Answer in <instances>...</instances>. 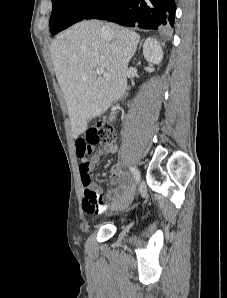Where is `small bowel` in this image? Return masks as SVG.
Segmentation results:
<instances>
[{"instance_id": "1", "label": "small bowel", "mask_w": 227, "mask_h": 298, "mask_svg": "<svg viewBox=\"0 0 227 298\" xmlns=\"http://www.w3.org/2000/svg\"><path fill=\"white\" fill-rule=\"evenodd\" d=\"M74 144L77 158L82 159L79 170L84 193V211L86 213L92 214L103 211L107 202L121 201L132 193L133 186L130 179L116 165L110 168V183L113 188L109 193L102 194L101 188L90 182L89 171L95 167L101 156L117 152L118 147L115 143L105 144L96 154H94L93 146H90L86 139H74ZM89 155H93L92 158L86 159ZM86 177L88 182L85 183L84 179ZM91 195L94 196L93 200Z\"/></svg>"}]
</instances>
